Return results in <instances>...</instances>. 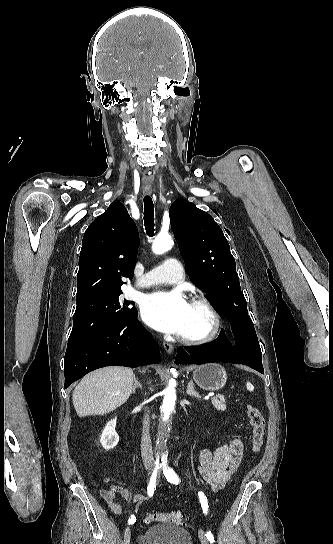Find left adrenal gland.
I'll use <instances>...</instances> for the list:
<instances>
[{
  "instance_id": "obj_1",
  "label": "left adrenal gland",
  "mask_w": 333,
  "mask_h": 544,
  "mask_svg": "<svg viewBox=\"0 0 333 544\" xmlns=\"http://www.w3.org/2000/svg\"><path fill=\"white\" fill-rule=\"evenodd\" d=\"M186 394L192 397H195L197 399H200L201 396L199 393L194 389V383L193 380H190L187 386Z\"/></svg>"
}]
</instances>
